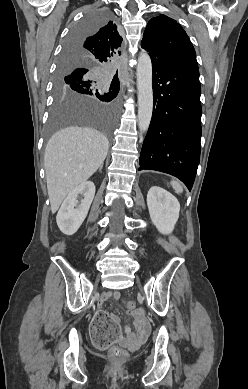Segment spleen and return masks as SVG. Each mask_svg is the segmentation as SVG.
Here are the masks:
<instances>
[{
	"label": "spleen",
	"instance_id": "1",
	"mask_svg": "<svg viewBox=\"0 0 248 389\" xmlns=\"http://www.w3.org/2000/svg\"><path fill=\"white\" fill-rule=\"evenodd\" d=\"M171 186L173 187V189L177 192V193H182L183 192V187L181 185L180 182L176 181V180H172L171 181Z\"/></svg>",
	"mask_w": 248,
	"mask_h": 389
}]
</instances>
